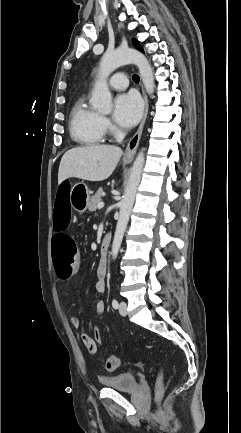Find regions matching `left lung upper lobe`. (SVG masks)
Here are the masks:
<instances>
[{
  "mask_svg": "<svg viewBox=\"0 0 241 433\" xmlns=\"http://www.w3.org/2000/svg\"><path fill=\"white\" fill-rule=\"evenodd\" d=\"M133 44H134V46H135L138 50L144 52L143 49H142V47L140 46V44H139V42H138L137 40L133 39Z\"/></svg>",
  "mask_w": 241,
  "mask_h": 433,
  "instance_id": "1",
  "label": "left lung upper lobe"
}]
</instances>
